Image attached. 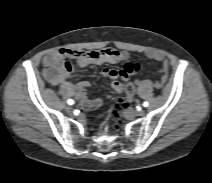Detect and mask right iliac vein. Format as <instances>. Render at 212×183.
I'll return each instance as SVG.
<instances>
[{
	"mask_svg": "<svg viewBox=\"0 0 212 183\" xmlns=\"http://www.w3.org/2000/svg\"><path fill=\"white\" fill-rule=\"evenodd\" d=\"M67 112H69V113H71V112H72L71 107H68V108H67Z\"/></svg>",
	"mask_w": 212,
	"mask_h": 183,
	"instance_id": "1",
	"label": "right iliac vein"
}]
</instances>
